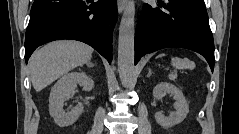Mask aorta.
<instances>
[{
    "label": "aorta",
    "instance_id": "aorta-1",
    "mask_svg": "<svg viewBox=\"0 0 239 134\" xmlns=\"http://www.w3.org/2000/svg\"><path fill=\"white\" fill-rule=\"evenodd\" d=\"M135 1L129 0L123 12L118 37V72L125 87L134 75Z\"/></svg>",
    "mask_w": 239,
    "mask_h": 134
}]
</instances>
